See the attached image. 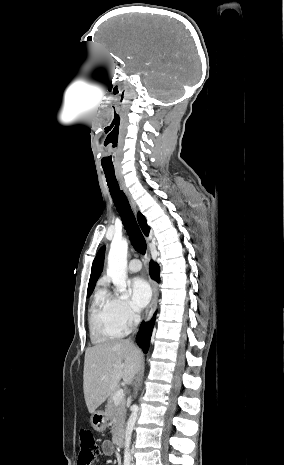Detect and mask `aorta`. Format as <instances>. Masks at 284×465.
Wrapping results in <instances>:
<instances>
[{"instance_id": "aorta-1", "label": "aorta", "mask_w": 284, "mask_h": 465, "mask_svg": "<svg viewBox=\"0 0 284 465\" xmlns=\"http://www.w3.org/2000/svg\"><path fill=\"white\" fill-rule=\"evenodd\" d=\"M127 252L128 243L126 239H115L112 241L108 254L107 275L111 278L117 292H123L126 289V270H127ZM139 407L134 404L131 408V414L126 424L125 430V457L130 456V443L134 426L137 420Z\"/></svg>"}]
</instances>
